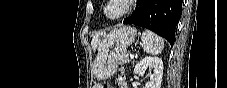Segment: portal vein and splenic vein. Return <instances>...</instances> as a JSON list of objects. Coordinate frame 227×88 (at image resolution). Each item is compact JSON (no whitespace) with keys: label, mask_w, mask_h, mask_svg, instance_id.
Here are the masks:
<instances>
[{"label":"portal vein and splenic vein","mask_w":227,"mask_h":88,"mask_svg":"<svg viewBox=\"0 0 227 88\" xmlns=\"http://www.w3.org/2000/svg\"><path fill=\"white\" fill-rule=\"evenodd\" d=\"M129 56H130L131 58H133V57H134V55H133V54H129Z\"/></svg>","instance_id":"obj_1"}]
</instances>
